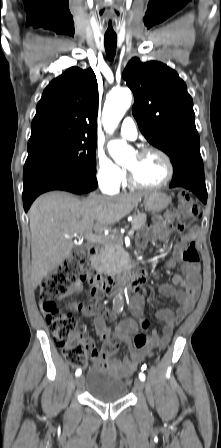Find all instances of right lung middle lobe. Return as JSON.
I'll return each instance as SVG.
<instances>
[{"label": "right lung middle lobe", "mask_w": 221, "mask_h": 448, "mask_svg": "<svg viewBox=\"0 0 221 448\" xmlns=\"http://www.w3.org/2000/svg\"><path fill=\"white\" fill-rule=\"evenodd\" d=\"M97 138H72L28 148L25 164L52 162L95 176Z\"/></svg>", "instance_id": "obj_1"}]
</instances>
